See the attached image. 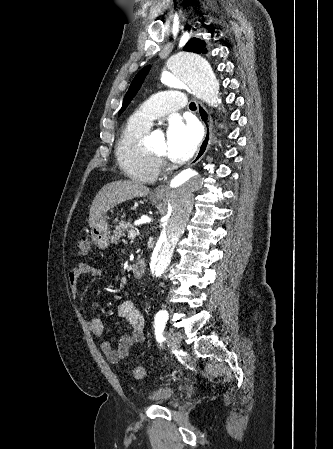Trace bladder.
I'll use <instances>...</instances> for the list:
<instances>
[{"instance_id":"obj_1","label":"bladder","mask_w":333,"mask_h":449,"mask_svg":"<svg viewBox=\"0 0 333 449\" xmlns=\"http://www.w3.org/2000/svg\"><path fill=\"white\" fill-rule=\"evenodd\" d=\"M176 397L175 391L170 387H159L149 394V400L157 404H169Z\"/></svg>"}]
</instances>
